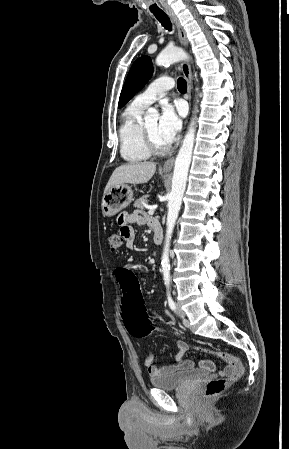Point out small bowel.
I'll use <instances>...</instances> for the list:
<instances>
[{"label":"small bowel","mask_w":289,"mask_h":449,"mask_svg":"<svg viewBox=\"0 0 289 449\" xmlns=\"http://www.w3.org/2000/svg\"><path fill=\"white\" fill-rule=\"evenodd\" d=\"M118 224L120 225V234L124 238L125 247L129 250L133 249L135 240V231L133 224L137 225H150L154 226L158 224L155 219L150 218L145 212L136 210L134 212H123L118 218ZM120 268H132L133 270H143L142 266H135L131 264H126ZM178 352L175 355V363L169 366H157L154 365L156 359V354H150L144 361V366L148 369L151 376L161 375L168 372H175L180 370H188L194 367V362L191 360H184L183 356L187 352L189 345L184 340L177 341ZM200 367L212 371L215 369V363L212 360H202L200 361ZM234 371L232 365L224 367L220 374L223 376H229Z\"/></svg>","instance_id":"1"}]
</instances>
